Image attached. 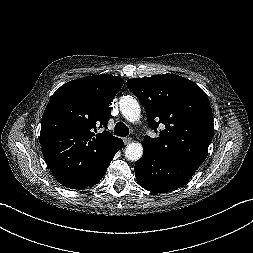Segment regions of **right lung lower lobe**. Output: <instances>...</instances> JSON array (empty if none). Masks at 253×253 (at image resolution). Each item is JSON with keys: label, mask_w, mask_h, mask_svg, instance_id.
<instances>
[{"label": "right lung lower lobe", "mask_w": 253, "mask_h": 253, "mask_svg": "<svg viewBox=\"0 0 253 253\" xmlns=\"http://www.w3.org/2000/svg\"><path fill=\"white\" fill-rule=\"evenodd\" d=\"M123 147V141L115 147L113 152L103 161L102 164L93 167L91 169L85 170L80 173L67 174V175H58L55 176L57 181L63 186L70 189H83L87 187L94 186L97 184L100 179L106 173V170L113 159L114 155Z\"/></svg>", "instance_id": "right-lung-lower-lobe-1"}]
</instances>
